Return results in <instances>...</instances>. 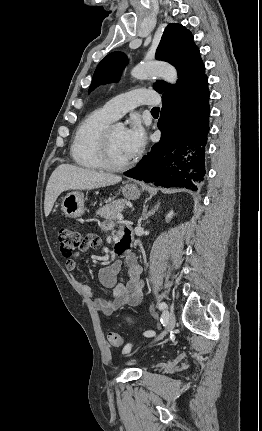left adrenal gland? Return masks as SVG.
<instances>
[{
    "label": "left adrenal gland",
    "mask_w": 262,
    "mask_h": 431,
    "mask_svg": "<svg viewBox=\"0 0 262 431\" xmlns=\"http://www.w3.org/2000/svg\"><path fill=\"white\" fill-rule=\"evenodd\" d=\"M147 208H148L147 206L144 207L140 221L146 220V219H148L149 216H151L152 214H154L156 212V210L159 208V203L156 204L154 206V208L151 211H149V212L147 211Z\"/></svg>",
    "instance_id": "obj_1"
}]
</instances>
